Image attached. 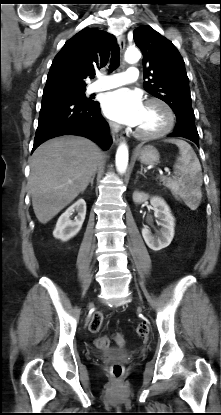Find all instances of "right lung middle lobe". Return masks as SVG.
<instances>
[{
    "mask_svg": "<svg viewBox=\"0 0 221 415\" xmlns=\"http://www.w3.org/2000/svg\"><path fill=\"white\" fill-rule=\"evenodd\" d=\"M85 91H86L85 88H83V89H74V90H66V91L51 93V94L45 95L43 97L60 96V97H69V98L82 100V101H89L90 98L86 97Z\"/></svg>",
    "mask_w": 221,
    "mask_h": 415,
    "instance_id": "1",
    "label": "right lung middle lobe"
}]
</instances>
